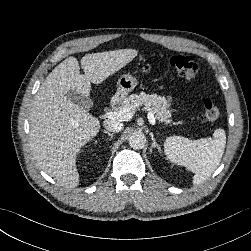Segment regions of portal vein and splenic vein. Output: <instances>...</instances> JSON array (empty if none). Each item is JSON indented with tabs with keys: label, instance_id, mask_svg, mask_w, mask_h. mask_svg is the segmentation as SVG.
<instances>
[{
	"label": "portal vein and splenic vein",
	"instance_id": "18ae733b",
	"mask_svg": "<svg viewBox=\"0 0 251 251\" xmlns=\"http://www.w3.org/2000/svg\"><path fill=\"white\" fill-rule=\"evenodd\" d=\"M134 112L131 111L130 108H117L115 111L106 112L104 115L106 118L119 120V121H128L132 118ZM148 120L152 125L156 124L154 114L149 111L148 113Z\"/></svg>",
	"mask_w": 251,
	"mask_h": 251
}]
</instances>
